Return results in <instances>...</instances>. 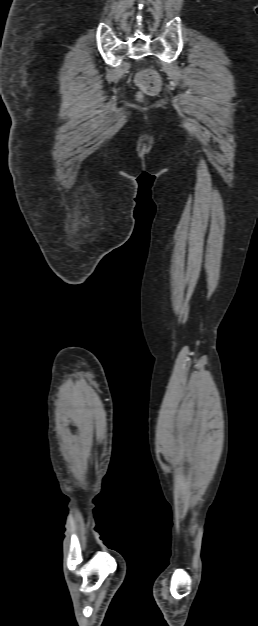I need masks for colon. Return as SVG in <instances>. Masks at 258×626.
Here are the masks:
<instances>
[{
    "label": "colon",
    "mask_w": 258,
    "mask_h": 626,
    "mask_svg": "<svg viewBox=\"0 0 258 626\" xmlns=\"http://www.w3.org/2000/svg\"><path fill=\"white\" fill-rule=\"evenodd\" d=\"M138 85L149 94L156 93L160 87V79L153 71H145L137 77Z\"/></svg>",
    "instance_id": "colon-1"
}]
</instances>
